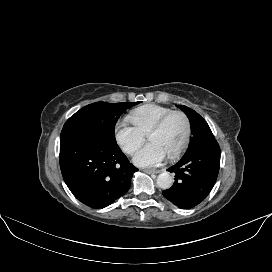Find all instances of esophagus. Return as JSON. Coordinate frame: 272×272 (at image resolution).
I'll list each match as a JSON object with an SVG mask.
<instances>
[{
	"label": "esophagus",
	"mask_w": 272,
	"mask_h": 272,
	"mask_svg": "<svg viewBox=\"0 0 272 272\" xmlns=\"http://www.w3.org/2000/svg\"><path fill=\"white\" fill-rule=\"evenodd\" d=\"M145 173H148V174H158L160 173L162 170H159V169H144L143 170Z\"/></svg>",
	"instance_id": "obj_1"
}]
</instances>
